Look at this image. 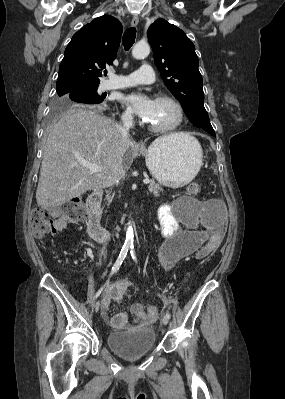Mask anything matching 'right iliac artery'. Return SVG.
<instances>
[{
	"instance_id": "right-iliac-artery-1",
	"label": "right iliac artery",
	"mask_w": 285,
	"mask_h": 399,
	"mask_svg": "<svg viewBox=\"0 0 285 399\" xmlns=\"http://www.w3.org/2000/svg\"><path fill=\"white\" fill-rule=\"evenodd\" d=\"M127 253H128V248L127 247H123L121 252H120V254H119V256H118V258H117V260H116V262H115V264L112 267L110 275H113L115 272H117L119 270V268H120L122 262L124 261ZM107 282L108 281H106V283L95 293L94 299H97L100 296V294L102 293V291H103L105 285L107 284Z\"/></svg>"
}]
</instances>
